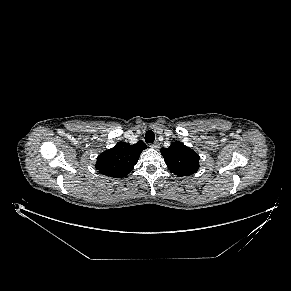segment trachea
<instances>
[{
    "label": "trachea",
    "mask_w": 291,
    "mask_h": 291,
    "mask_svg": "<svg viewBox=\"0 0 291 291\" xmlns=\"http://www.w3.org/2000/svg\"><path fill=\"white\" fill-rule=\"evenodd\" d=\"M155 140V134L153 131L151 130H148L145 134V141L146 143L150 144V143H153Z\"/></svg>",
    "instance_id": "trachea-1"
}]
</instances>
